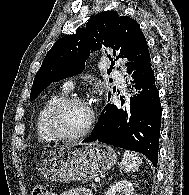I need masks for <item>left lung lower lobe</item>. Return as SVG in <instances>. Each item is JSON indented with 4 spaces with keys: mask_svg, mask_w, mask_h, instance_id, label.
<instances>
[{
    "mask_svg": "<svg viewBox=\"0 0 189 195\" xmlns=\"http://www.w3.org/2000/svg\"><path fill=\"white\" fill-rule=\"evenodd\" d=\"M131 95L127 102L109 103L93 133L83 142L100 141L143 153L154 166L158 161L161 104L151 58L126 76Z\"/></svg>",
    "mask_w": 189,
    "mask_h": 195,
    "instance_id": "obj_1",
    "label": "left lung lower lobe"
}]
</instances>
